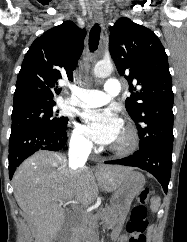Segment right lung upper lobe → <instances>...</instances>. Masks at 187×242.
<instances>
[{
	"label": "right lung upper lobe",
	"instance_id": "obj_1",
	"mask_svg": "<svg viewBox=\"0 0 187 242\" xmlns=\"http://www.w3.org/2000/svg\"><path fill=\"white\" fill-rule=\"evenodd\" d=\"M86 31L66 21L38 37L29 48L17 77L14 105L54 102L60 94L58 81L73 80Z\"/></svg>",
	"mask_w": 187,
	"mask_h": 242
}]
</instances>
